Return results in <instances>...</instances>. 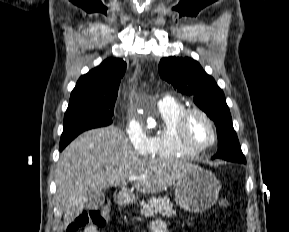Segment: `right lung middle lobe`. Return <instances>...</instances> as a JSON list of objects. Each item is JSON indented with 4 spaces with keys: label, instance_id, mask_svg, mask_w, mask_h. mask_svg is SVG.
Instances as JSON below:
<instances>
[{
    "label": "right lung middle lobe",
    "instance_id": "dd1d6c3e",
    "mask_svg": "<svg viewBox=\"0 0 289 232\" xmlns=\"http://www.w3.org/2000/svg\"><path fill=\"white\" fill-rule=\"evenodd\" d=\"M116 98L115 96L70 99L64 116L60 148H65L68 143L85 130L110 125Z\"/></svg>",
    "mask_w": 289,
    "mask_h": 232
}]
</instances>
